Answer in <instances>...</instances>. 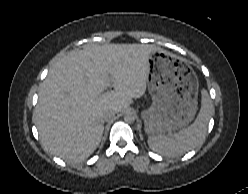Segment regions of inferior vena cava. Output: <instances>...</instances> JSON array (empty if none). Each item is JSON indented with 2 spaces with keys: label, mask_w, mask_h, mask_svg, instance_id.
I'll return each mask as SVG.
<instances>
[{
  "label": "inferior vena cava",
  "mask_w": 248,
  "mask_h": 194,
  "mask_svg": "<svg viewBox=\"0 0 248 194\" xmlns=\"http://www.w3.org/2000/svg\"><path fill=\"white\" fill-rule=\"evenodd\" d=\"M115 113H116V112L113 111V110L108 111V112L105 114V116H104V120H105V121H108V120L112 119V118L114 117Z\"/></svg>",
  "instance_id": "602c4592"
}]
</instances>
